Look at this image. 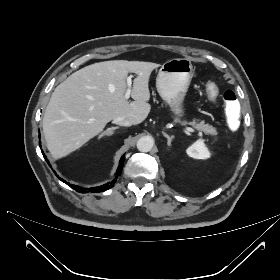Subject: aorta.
Segmentation results:
<instances>
[{"label": "aorta", "mask_w": 280, "mask_h": 280, "mask_svg": "<svg viewBox=\"0 0 280 280\" xmlns=\"http://www.w3.org/2000/svg\"><path fill=\"white\" fill-rule=\"evenodd\" d=\"M153 145H154V140L150 136L141 137L136 144L137 149L140 152H149L153 148Z\"/></svg>", "instance_id": "762f6f07"}]
</instances>
